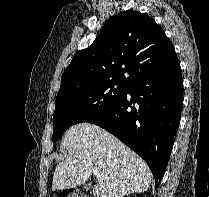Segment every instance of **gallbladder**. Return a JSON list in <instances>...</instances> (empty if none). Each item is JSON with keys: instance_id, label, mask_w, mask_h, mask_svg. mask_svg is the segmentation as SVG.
Returning <instances> with one entry per match:
<instances>
[{"instance_id": "1", "label": "gallbladder", "mask_w": 209, "mask_h": 197, "mask_svg": "<svg viewBox=\"0 0 209 197\" xmlns=\"http://www.w3.org/2000/svg\"><path fill=\"white\" fill-rule=\"evenodd\" d=\"M90 188L89 184H85V189L88 190Z\"/></svg>"}]
</instances>
